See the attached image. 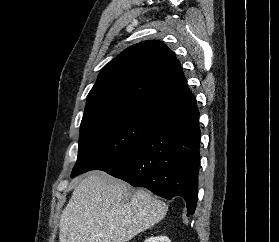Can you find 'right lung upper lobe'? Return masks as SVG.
<instances>
[{
	"label": "right lung upper lobe",
	"mask_w": 279,
	"mask_h": 242,
	"mask_svg": "<svg viewBox=\"0 0 279 242\" xmlns=\"http://www.w3.org/2000/svg\"><path fill=\"white\" fill-rule=\"evenodd\" d=\"M194 100L173 52L159 41L147 40L130 46L103 67L83 116L117 110L160 114Z\"/></svg>",
	"instance_id": "obj_1"
}]
</instances>
